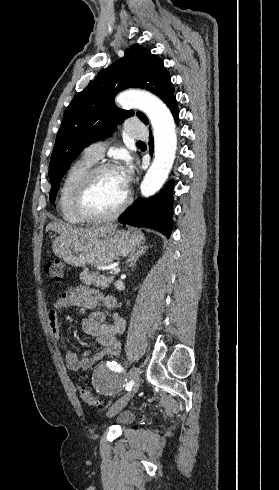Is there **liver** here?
I'll return each instance as SVG.
<instances>
[{"mask_svg":"<svg viewBox=\"0 0 279 490\" xmlns=\"http://www.w3.org/2000/svg\"><path fill=\"white\" fill-rule=\"evenodd\" d=\"M112 228L116 226H93V228H74V226H69V224H64V222H51L46 228L52 230V232H57L60 234L61 238H68V240H83V242H89L91 238H96V236H103Z\"/></svg>","mask_w":279,"mask_h":490,"instance_id":"6515ba94","label":"liver"}]
</instances>
